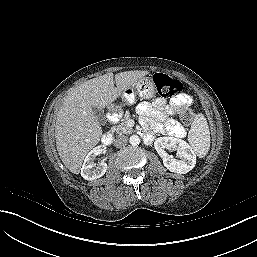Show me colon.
<instances>
[{"label": "colon", "mask_w": 257, "mask_h": 257, "mask_svg": "<svg viewBox=\"0 0 257 257\" xmlns=\"http://www.w3.org/2000/svg\"><path fill=\"white\" fill-rule=\"evenodd\" d=\"M153 80L157 93L162 98L173 97L179 94L183 89V85L178 79L172 78L163 73L155 74ZM178 115L184 123L188 124L193 118V111L189 107H184L179 111Z\"/></svg>", "instance_id": "1"}]
</instances>
